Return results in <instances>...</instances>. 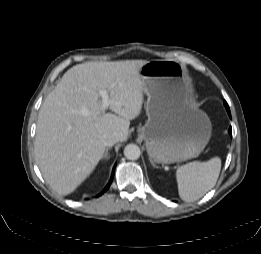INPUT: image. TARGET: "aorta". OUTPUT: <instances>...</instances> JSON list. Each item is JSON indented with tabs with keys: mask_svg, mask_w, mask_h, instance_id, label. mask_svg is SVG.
I'll return each instance as SVG.
<instances>
[{
	"mask_svg": "<svg viewBox=\"0 0 261 254\" xmlns=\"http://www.w3.org/2000/svg\"><path fill=\"white\" fill-rule=\"evenodd\" d=\"M141 155V151L138 145L128 144L124 148V156L129 160H137Z\"/></svg>",
	"mask_w": 261,
	"mask_h": 254,
	"instance_id": "obj_1",
	"label": "aorta"
}]
</instances>
